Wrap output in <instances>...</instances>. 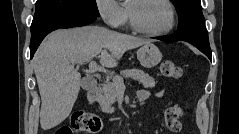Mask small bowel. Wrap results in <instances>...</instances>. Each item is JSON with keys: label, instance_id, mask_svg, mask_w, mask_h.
<instances>
[{"label": "small bowel", "instance_id": "obj_1", "mask_svg": "<svg viewBox=\"0 0 239 134\" xmlns=\"http://www.w3.org/2000/svg\"><path fill=\"white\" fill-rule=\"evenodd\" d=\"M163 93H164L163 91H159L156 92L154 96L160 98L163 96ZM151 95L152 94L148 90H141L138 92L137 97L139 101H144L147 100L149 97H151Z\"/></svg>", "mask_w": 239, "mask_h": 134}]
</instances>
